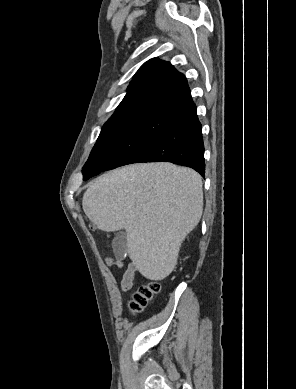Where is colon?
<instances>
[{
    "label": "colon",
    "mask_w": 296,
    "mask_h": 389,
    "mask_svg": "<svg viewBox=\"0 0 296 389\" xmlns=\"http://www.w3.org/2000/svg\"><path fill=\"white\" fill-rule=\"evenodd\" d=\"M160 285L158 282H149L141 285L132 295L129 308L133 313L141 312L158 294Z\"/></svg>",
    "instance_id": "5ec220e1"
}]
</instances>
